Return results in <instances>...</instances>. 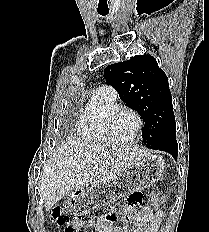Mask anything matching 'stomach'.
<instances>
[{"label": "stomach", "instance_id": "1", "mask_svg": "<svg viewBox=\"0 0 209 232\" xmlns=\"http://www.w3.org/2000/svg\"><path fill=\"white\" fill-rule=\"evenodd\" d=\"M165 160L159 155H149L132 165L120 176H113L111 182H101V186H90L84 194L68 198L63 214H70L74 221H89L87 214L95 208L115 203V199H126L131 190H143L156 183L163 175Z\"/></svg>", "mask_w": 209, "mask_h": 232}]
</instances>
